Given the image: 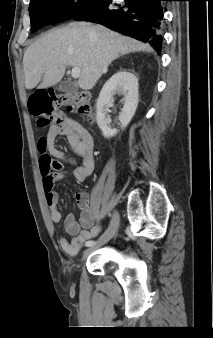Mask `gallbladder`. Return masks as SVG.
Here are the masks:
<instances>
[{
  "instance_id": "obj_1",
  "label": "gallbladder",
  "mask_w": 213,
  "mask_h": 338,
  "mask_svg": "<svg viewBox=\"0 0 213 338\" xmlns=\"http://www.w3.org/2000/svg\"><path fill=\"white\" fill-rule=\"evenodd\" d=\"M58 89L62 92H74L76 91L77 87L72 83L63 81L59 84Z\"/></svg>"
}]
</instances>
